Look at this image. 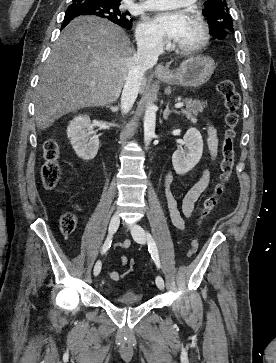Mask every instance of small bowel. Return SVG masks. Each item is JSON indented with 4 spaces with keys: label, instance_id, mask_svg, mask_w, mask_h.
<instances>
[{
    "label": "small bowel",
    "instance_id": "small-bowel-1",
    "mask_svg": "<svg viewBox=\"0 0 276 363\" xmlns=\"http://www.w3.org/2000/svg\"><path fill=\"white\" fill-rule=\"evenodd\" d=\"M207 147L211 158L215 160L218 151V137L217 130L211 122L207 123ZM172 181L173 175L171 172H168L164 181L168 215L173 228L177 231H184L186 229V219H190L194 216L196 201L210 185L211 175L208 169L203 170L201 178L188 190V192L183 197L180 207L171 191ZM79 210L82 209L79 207ZM130 244V240L126 239L118 242L116 244V248L125 249L128 248ZM127 261V257L122 255V265H126ZM107 276L111 280L116 281L120 278V276H122V274H119L116 271H109L107 272Z\"/></svg>",
    "mask_w": 276,
    "mask_h": 363
}]
</instances>
